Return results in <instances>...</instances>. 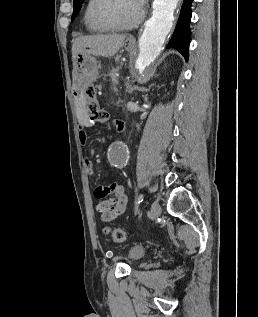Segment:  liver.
<instances>
[{"mask_svg": "<svg viewBox=\"0 0 258 317\" xmlns=\"http://www.w3.org/2000/svg\"><path fill=\"white\" fill-rule=\"evenodd\" d=\"M128 34H88V36H77L72 44V58L79 52H88L95 56H113L121 48Z\"/></svg>", "mask_w": 258, "mask_h": 317, "instance_id": "1", "label": "liver"}]
</instances>
